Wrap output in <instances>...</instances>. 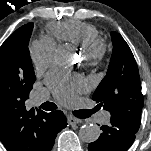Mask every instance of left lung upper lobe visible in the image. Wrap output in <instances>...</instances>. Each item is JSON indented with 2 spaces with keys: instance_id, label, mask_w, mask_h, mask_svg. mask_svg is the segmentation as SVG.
I'll list each match as a JSON object with an SVG mask.
<instances>
[{
  "instance_id": "obj_1",
  "label": "left lung upper lobe",
  "mask_w": 151,
  "mask_h": 151,
  "mask_svg": "<svg viewBox=\"0 0 151 151\" xmlns=\"http://www.w3.org/2000/svg\"><path fill=\"white\" fill-rule=\"evenodd\" d=\"M113 53L106 76L92 99L111 113V120L136 133L140 126L143 95L134 56L123 37L111 32Z\"/></svg>"
}]
</instances>
